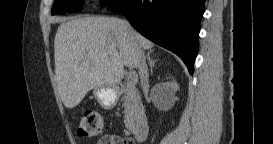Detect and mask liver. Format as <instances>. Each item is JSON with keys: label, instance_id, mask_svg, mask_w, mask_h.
I'll return each mask as SVG.
<instances>
[{"label": "liver", "instance_id": "1", "mask_svg": "<svg viewBox=\"0 0 273 144\" xmlns=\"http://www.w3.org/2000/svg\"><path fill=\"white\" fill-rule=\"evenodd\" d=\"M133 30V29H132ZM136 45L153 43L116 17H84L60 24L54 40L55 79L66 108L76 107L97 87L117 88L124 66L137 68Z\"/></svg>", "mask_w": 273, "mask_h": 144}]
</instances>
